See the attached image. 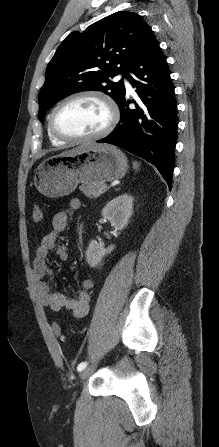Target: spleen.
I'll return each mask as SVG.
<instances>
[{"mask_svg": "<svg viewBox=\"0 0 219 447\" xmlns=\"http://www.w3.org/2000/svg\"><path fill=\"white\" fill-rule=\"evenodd\" d=\"M133 167H134V169H137V168H138V164H137V162H134V163H133Z\"/></svg>", "mask_w": 219, "mask_h": 447, "instance_id": "obj_1", "label": "spleen"}]
</instances>
